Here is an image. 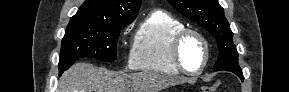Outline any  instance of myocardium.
<instances>
[{"label": "myocardium", "instance_id": "myocardium-1", "mask_svg": "<svg viewBox=\"0 0 289 92\" xmlns=\"http://www.w3.org/2000/svg\"><path fill=\"white\" fill-rule=\"evenodd\" d=\"M188 36L197 37L202 42L203 48H204L203 63L200 66V68L195 70V71H190L183 65L182 60H181V55H180L181 46H182L184 40ZM171 56H172V59H173V62L175 64V66L180 70V72L188 74V75H198V74H200V73H202L204 71V69L206 68V66L208 64V61H209L210 48H209L208 40L198 30L191 29V28H184V29L180 30L174 36V38L172 40V43H171Z\"/></svg>", "mask_w": 289, "mask_h": 92}]
</instances>
